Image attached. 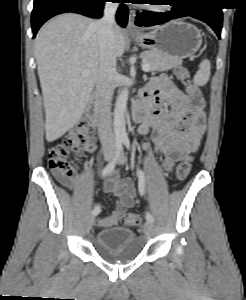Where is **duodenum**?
<instances>
[{"label": "duodenum", "instance_id": "1", "mask_svg": "<svg viewBox=\"0 0 246 300\" xmlns=\"http://www.w3.org/2000/svg\"><path fill=\"white\" fill-rule=\"evenodd\" d=\"M85 110L87 117L95 127L102 128L104 126L106 112L104 106L101 103L100 93L96 92L90 97ZM149 111L150 109L148 105L143 101V99L136 101L132 111L134 122H142Z\"/></svg>", "mask_w": 246, "mask_h": 300}]
</instances>
